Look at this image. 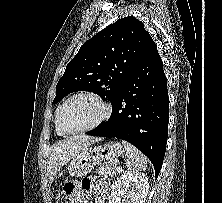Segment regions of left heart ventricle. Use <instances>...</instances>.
<instances>
[{
  "mask_svg": "<svg viewBox=\"0 0 222 203\" xmlns=\"http://www.w3.org/2000/svg\"><path fill=\"white\" fill-rule=\"evenodd\" d=\"M102 114V107L92 99L76 98L64 109L62 124L65 128L74 130L93 124Z\"/></svg>",
  "mask_w": 222,
  "mask_h": 203,
  "instance_id": "obj_1",
  "label": "left heart ventricle"
}]
</instances>
